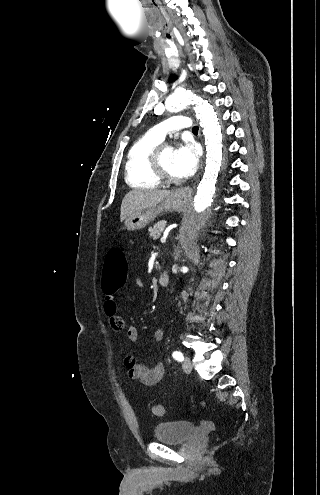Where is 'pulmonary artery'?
I'll use <instances>...</instances> for the list:
<instances>
[{
  "label": "pulmonary artery",
  "mask_w": 320,
  "mask_h": 495,
  "mask_svg": "<svg viewBox=\"0 0 320 495\" xmlns=\"http://www.w3.org/2000/svg\"><path fill=\"white\" fill-rule=\"evenodd\" d=\"M191 126L188 117L182 115L171 116L168 119L152 127L149 133L156 139L162 141L171 132L187 129Z\"/></svg>",
  "instance_id": "obj_1"
}]
</instances>
